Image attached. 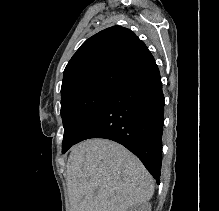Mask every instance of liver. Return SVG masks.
Instances as JSON below:
<instances>
[{
  "label": "liver",
  "instance_id": "1",
  "mask_svg": "<svg viewBox=\"0 0 219 211\" xmlns=\"http://www.w3.org/2000/svg\"><path fill=\"white\" fill-rule=\"evenodd\" d=\"M71 211H128L154 193L142 161L111 139H85L72 147L66 167Z\"/></svg>",
  "mask_w": 219,
  "mask_h": 211
}]
</instances>
